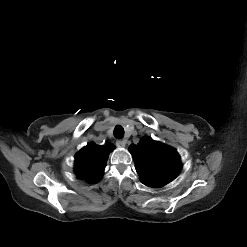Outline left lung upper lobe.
<instances>
[{"mask_svg": "<svg viewBox=\"0 0 247 247\" xmlns=\"http://www.w3.org/2000/svg\"><path fill=\"white\" fill-rule=\"evenodd\" d=\"M129 151L142 182L149 187H162L176 178L182 168L178 152L152 138L144 137Z\"/></svg>", "mask_w": 247, "mask_h": 247, "instance_id": "1", "label": "left lung upper lobe"}]
</instances>
